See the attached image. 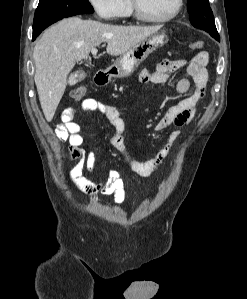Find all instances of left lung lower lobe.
Here are the masks:
<instances>
[{
  "label": "left lung lower lobe",
  "mask_w": 247,
  "mask_h": 299,
  "mask_svg": "<svg viewBox=\"0 0 247 299\" xmlns=\"http://www.w3.org/2000/svg\"><path fill=\"white\" fill-rule=\"evenodd\" d=\"M213 38H215L217 41H220L219 35L216 34H210Z\"/></svg>",
  "instance_id": "0a47b994"
}]
</instances>
